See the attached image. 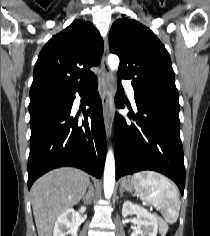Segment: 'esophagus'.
Instances as JSON below:
<instances>
[{
	"label": "esophagus",
	"mask_w": 210,
	"mask_h": 236,
	"mask_svg": "<svg viewBox=\"0 0 210 236\" xmlns=\"http://www.w3.org/2000/svg\"><path fill=\"white\" fill-rule=\"evenodd\" d=\"M108 53H109L108 40H107V38H105L104 39L103 56H102V61H101L100 83H101L103 118H104V124H105L107 138H109L111 136L110 117H109V112H108V99H109V95H108L109 71L107 68Z\"/></svg>",
	"instance_id": "esophagus-1"
}]
</instances>
